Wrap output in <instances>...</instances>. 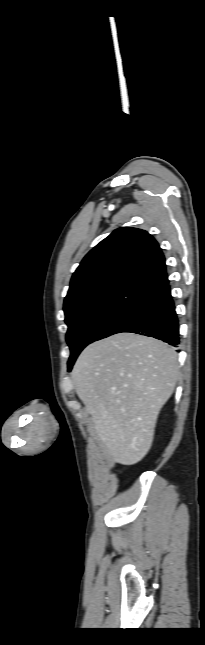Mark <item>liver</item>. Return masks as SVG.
I'll use <instances>...</instances> for the list:
<instances>
[{
  "label": "liver",
  "instance_id": "1",
  "mask_svg": "<svg viewBox=\"0 0 205 645\" xmlns=\"http://www.w3.org/2000/svg\"><path fill=\"white\" fill-rule=\"evenodd\" d=\"M178 377L173 347L133 333L88 345L72 370L98 440L123 465L138 463L150 450L158 414Z\"/></svg>",
  "mask_w": 205,
  "mask_h": 645
}]
</instances>
